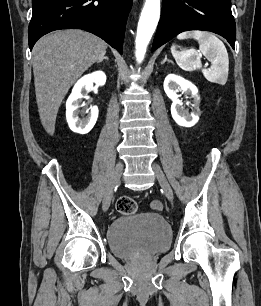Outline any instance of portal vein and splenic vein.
Wrapping results in <instances>:
<instances>
[{
	"label": "portal vein and splenic vein",
	"mask_w": 261,
	"mask_h": 306,
	"mask_svg": "<svg viewBox=\"0 0 261 306\" xmlns=\"http://www.w3.org/2000/svg\"><path fill=\"white\" fill-rule=\"evenodd\" d=\"M208 66V64H205V67H207Z\"/></svg>",
	"instance_id": "18ae733b"
}]
</instances>
